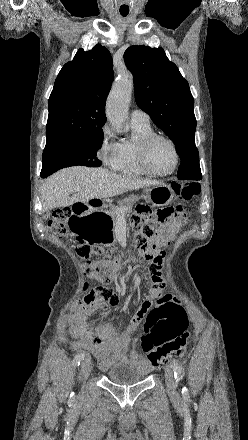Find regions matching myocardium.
Masks as SVG:
<instances>
[{
  "label": "myocardium",
  "instance_id": "f54148a6",
  "mask_svg": "<svg viewBox=\"0 0 248 440\" xmlns=\"http://www.w3.org/2000/svg\"><path fill=\"white\" fill-rule=\"evenodd\" d=\"M158 140H163V141L167 142L171 146L173 153H174L175 161H174L173 167L167 172H157L152 169V167L150 166V163H149L150 149H151L152 145ZM138 161H139L141 168L143 169V171L146 174L151 175V176H155V177H165V176H169V175L173 174L176 171V169L179 165V162H180V154H179V151H178V148H177L175 142L171 138H169L165 135H162V134L153 133V134L146 136L145 138H143L140 141L139 146H138Z\"/></svg>",
  "mask_w": 248,
  "mask_h": 440
}]
</instances>
